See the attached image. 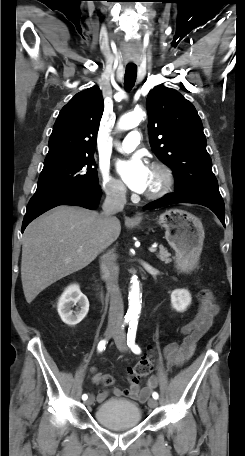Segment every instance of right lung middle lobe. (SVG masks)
<instances>
[{
    "label": "right lung middle lobe",
    "mask_w": 245,
    "mask_h": 456,
    "mask_svg": "<svg viewBox=\"0 0 245 456\" xmlns=\"http://www.w3.org/2000/svg\"><path fill=\"white\" fill-rule=\"evenodd\" d=\"M93 165V155L63 159L44 165L34 196L99 187L97 170Z\"/></svg>",
    "instance_id": "right-lung-middle-lobe-1"
}]
</instances>
